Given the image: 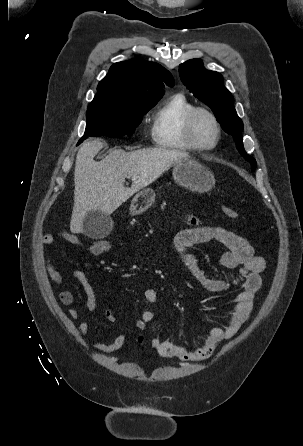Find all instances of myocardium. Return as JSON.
<instances>
[{"instance_id": "obj_1", "label": "myocardium", "mask_w": 303, "mask_h": 446, "mask_svg": "<svg viewBox=\"0 0 303 446\" xmlns=\"http://www.w3.org/2000/svg\"><path fill=\"white\" fill-rule=\"evenodd\" d=\"M199 114H205L206 116H208L211 119V121L215 127V131H216L215 139H214L213 143L209 146L200 145L196 141V139L193 135V124H194L195 118ZM221 133H222L221 126H220V123H219L216 115L207 108L195 107L187 114V116L185 118L184 126H183V134H184V137H185V140L187 141V143L195 150L210 151V150L214 149L218 145V143L221 139Z\"/></svg>"}]
</instances>
